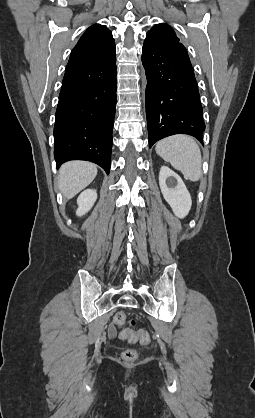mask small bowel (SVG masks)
<instances>
[{"label":"small bowel","mask_w":255,"mask_h":418,"mask_svg":"<svg viewBox=\"0 0 255 418\" xmlns=\"http://www.w3.org/2000/svg\"><path fill=\"white\" fill-rule=\"evenodd\" d=\"M109 333H110L111 336L115 335L116 331H115V328L113 326L110 328Z\"/></svg>","instance_id":"small-bowel-1"}]
</instances>
